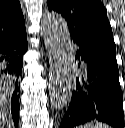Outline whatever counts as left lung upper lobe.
<instances>
[{"mask_svg":"<svg viewBox=\"0 0 125 128\" xmlns=\"http://www.w3.org/2000/svg\"><path fill=\"white\" fill-rule=\"evenodd\" d=\"M47 5L66 19L76 44L116 54L112 29L100 0H47Z\"/></svg>","mask_w":125,"mask_h":128,"instance_id":"left-lung-upper-lobe-1","label":"left lung upper lobe"}]
</instances>
